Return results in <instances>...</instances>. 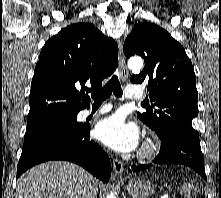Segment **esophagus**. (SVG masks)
<instances>
[{
    "label": "esophagus",
    "mask_w": 221,
    "mask_h": 198,
    "mask_svg": "<svg viewBox=\"0 0 221 198\" xmlns=\"http://www.w3.org/2000/svg\"><path fill=\"white\" fill-rule=\"evenodd\" d=\"M119 66L120 76L122 81H126L129 75V71L125 62V57L122 50V43L119 42ZM113 171L116 175H120L123 172V163L117 158L113 160Z\"/></svg>",
    "instance_id": "esophagus-1"
}]
</instances>
